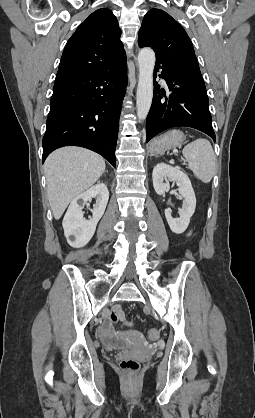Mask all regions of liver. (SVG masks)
<instances>
[{
    "label": "liver",
    "mask_w": 255,
    "mask_h": 418,
    "mask_svg": "<svg viewBox=\"0 0 255 418\" xmlns=\"http://www.w3.org/2000/svg\"><path fill=\"white\" fill-rule=\"evenodd\" d=\"M105 167L100 155L80 147H63L48 156L44 170L48 199L56 220L75 197L101 177Z\"/></svg>",
    "instance_id": "6515ba94"
}]
</instances>
